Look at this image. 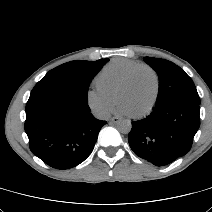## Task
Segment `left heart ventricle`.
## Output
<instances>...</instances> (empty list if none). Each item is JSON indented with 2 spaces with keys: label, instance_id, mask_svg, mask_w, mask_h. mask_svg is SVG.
Listing matches in <instances>:
<instances>
[{
  "label": "left heart ventricle",
  "instance_id": "obj_1",
  "mask_svg": "<svg viewBox=\"0 0 212 212\" xmlns=\"http://www.w3.org/2000/svg\"><path fill=\"white\" fill-rule=\"evenodd\" d=\"M155 90V83L150 72L142 70L138 72L131 85L122 93L120 102L130 112L138 113L148 107L152 101Z\"/></svg>",
  "mask_w": 212,
  "mask_h": 212
}]
</instances>
